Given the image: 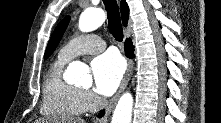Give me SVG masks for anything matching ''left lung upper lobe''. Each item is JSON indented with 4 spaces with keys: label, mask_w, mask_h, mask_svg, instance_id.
<instances>
[{
    "label": "left lung upper lobe",
    "mask_w": 221,
    "mask_h": 123,
    "mask_svg": "<svg viewBox=\"0 0 221 123\" xmlns=\"http://www.w3.org/2000/svg\"><path fill=\"white\" fill-rule=\"evenodd\" d=\"M70 21V17H65L56 27L54 30L51 39L49 40V43L46 48L44 59H47L51 56V54L55 51L58 43L60 42L68 24Z\"/></svg>",
    "instance_id": "obj_1"
}]
</instances>
